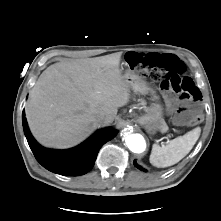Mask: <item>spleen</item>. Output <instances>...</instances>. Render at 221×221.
Instances as JSON below:
<instances>
[{"label": "spleen", "instance_id": "obj_1", "mask_svg": "<svg viewBox=\"0 0 221 221\" xmlns=\"http://www.w3.org/2000/svg\"><path fill=\"white\" fill-rule=\"evenodd\" d=\"M201 133V128L171 140L167 145L154 144L150 154V163L158 168L172 166L182 160L193 148Z\"/></svg>", "mask_w": 221, "mask_h": 221}]
</instances>
